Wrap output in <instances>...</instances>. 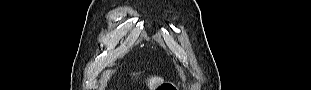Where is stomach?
I'll use <instances>...</instances> for the list:
<instances>
[{"label": "stomach", "instance_id": "obj_1", "mask_svg": "<svg viewBox=\"0 0 311 90\" xmlns=\"http://www.w3.org/2000/svg\"><path fill=\"white\" fill-rule=\"evenodd\" d=\"M175 87L173 84L169 83V82H164L161 83L158 87L157 90H174Z\"/></svg>", "mask_w": 311, "mask_h": 90}]
</instances>
